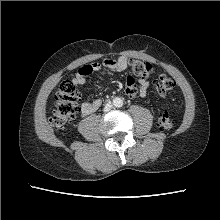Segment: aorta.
Wrapping results in <instances>:
<instances>
[{"label": "aorta", "instance_id": "obj_1", "mask_svg": "<svg viewBox=\"0 0 220 220\" xmlns=\"http://www.w3.org/2000/svg\"><path fill=\"white\" fill-rule=\"evenodd\" d=\"M113 105H114L115 107H121V106L123 105L122 99H121V98H115V99L113 100Z\"/></svg>", "mask_w": 220, "mask_h": 220}]
</instances>
